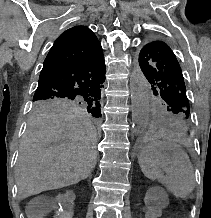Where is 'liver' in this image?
Returning <instances> with one entry per match:
<instances>
[{
	"label": "liver",
	"mask_w": 211,
	"mask_h": 218,
	"mask_svg": "<svg viewBox=\"0 0 211 218\" xmlns=\"http://www.w3.org/2000/svg\"><path fill=\"white\" fill-rule=\"evenodd\" d=\"M96 142L95 126L83 110H34L15 170L19 200L88 178L97 164Z\"/></svg>",
	"instance_id": "liver-1"
}]
</instances>
